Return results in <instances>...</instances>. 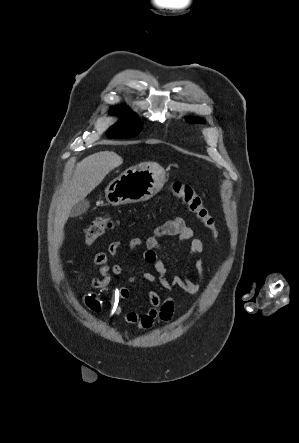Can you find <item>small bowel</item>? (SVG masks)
Returning <instances> with one entry per match:
<instances>
[{"label": "small bowel", "instance_id": "small-bowel-1", "mask_svg": "<svg viewBox=\"0 0 299 443\" xmlns=\"http://www.w3.org/2000/svg\"><path fill=\"white\" fill-rule=\"evenodd\" d=\"M174 237L178 241H189L187 252L188 255L197 254L203 251L204 246L201 240L194 238L193 230L188 227L184 220L180 217L166 221L164 224L156 227L152 234L145 240V251L143 258L147 264L153 265L155 272L144 271L139 278L144 283L154 284L159 291L164 293L161 295L153 290L147 291L150 308L147 312L140 314L136 311L124 312L123 301L129 297L127 287H113L110 295V305L112 311L117 314H123L126 324L135 326L142 330H147L153 326L156 320L167 322L171 320L174 314V300L168 295L169 291L177 287L190 295H196L200 288L201 282H192L185 275H174L171 280L167 278L168 269L163 258L159 255L161 237ZM143 244L140 238H132L129 241V247L136 249ZM122 243L119 241L112 242L108 247V252H98L94 256V262L100 267V278L92 280V286L95 289L107 290L113 285L117 276H120L123 269L118 264L109 263V255L119 254ZM196 270L200 279L204 277V260L199 259L196 262ZM138 278L132 277L130 282L136 281ZM88 307L93 311H100L101 304L98 298L91 294L86 298Z\"/></svg>", "mask_w": 299, "mask_h": 443}]
</instances>
